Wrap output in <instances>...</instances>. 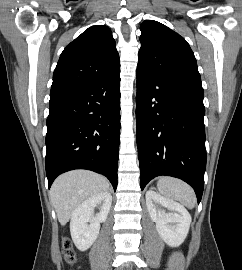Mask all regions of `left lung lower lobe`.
I'll list each match as a JSON object with an SVG mask.
<instances>
[{"instance_id":"obj_1","label":"left lung lower lobe","mask_w":242,"mask_h":270,"mask_svg":"<svg viewBox=\"0 0 242 270\" xmlns=\"http://www.w3.org/2000/svg\"><path fill=\"white\" fill-rule=\"evenodd\" d=\"M203 91L137 66L136 127L140 187L156 176L180 178L198 203L206 168Z\"/></svg>"}]
</instances>
